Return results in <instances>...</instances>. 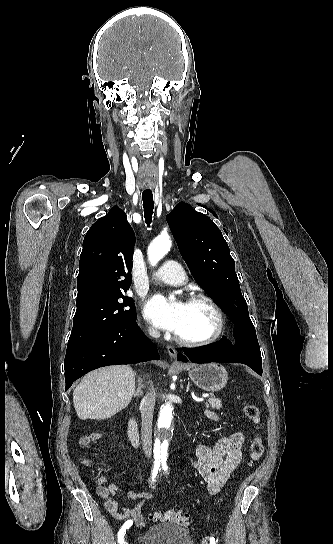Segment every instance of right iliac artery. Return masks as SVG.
I'll return each instance as SVG.
<instances>
[{
  "label": "right iliac artery",
  "instance_id": "1",
  "mask_svg": "<svg viewBox=\"0 0 333 544\" xmlns=\"http://www.w3.org/2000/svg\"><path fill=\"white\" fill-rule=\"evenodd\" d=\"M160 471V464H155L154 465V468L152 470V476H151V484L153 485L154 482L156 481V476L158 474V472ZM132 525V522L131 521H127L123 524V526L120 528L119 532H118V543L119 544H124V535L127 531V529H129Z\"/></svg>",
  "mask_w": 333,
  "mask_h": 544
}]
</instances>
